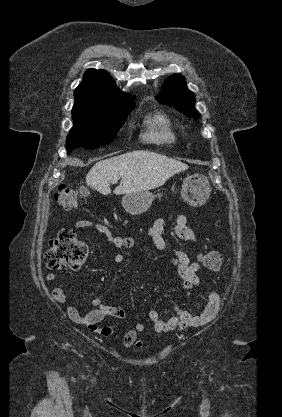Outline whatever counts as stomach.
Wrapping results in <instances>:
<instances>
[{
  "instance_id": "stomach-1",
  "label": "stomach",
  "mask_w": 282,
  "mask_h": 417,
  "mask_svg": "<svg viewBox=\"0 0 282 417\" xmlns=\"http://www.w3.org/2000/svg\"><path fill=\"white\" fill-rule=\"evenodd\" d=\"M210 192L209 180L204 174H191L185 178L182 184L181 196L192 206H201L209 198ZM155 196H162V194L161 192L152 194L149 190L128 192L122 198L123 209L130 215H142L148 211Z\"/></svg>"
}]
</instances>
